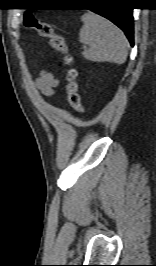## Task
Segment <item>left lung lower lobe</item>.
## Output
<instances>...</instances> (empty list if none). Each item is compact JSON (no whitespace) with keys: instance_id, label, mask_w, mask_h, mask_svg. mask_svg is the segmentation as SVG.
Listing matches in <instances>:
<instances>
[{"instance_id":"1","label":"left lung lower lobe","mask_w":156,"mask_h":266,"mask_svg":"<svg viewBox=\"0 0 156 266\" xmlns=\"http://www.w3.org/2000/svg\"><path fill=\"white\" fill-rule=\"evenodd\" d=\"M88 2L93 5L89 8L91 11L106 17L122 29L133 46V9L123 7L120 4L111 6V0H90Z\"/></svg>"}]
</instances>
